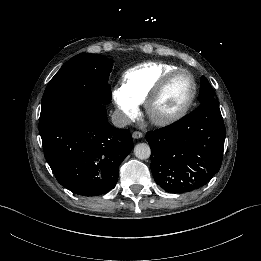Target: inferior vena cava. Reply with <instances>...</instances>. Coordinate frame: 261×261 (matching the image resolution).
Segmentation results:
<instances>
[{
  "label": "inferior vena cava",
  "mask_w": 261,
  "mask_h": 261,
  "mask_svg": "<svg viewBox=\"0 0 261 261\" xmlns=\"http://www.w3.org/2000/svg\"><path fill=\"white\" fill-rule=\"evenodd\" d=\"M112 123L117 128H123L130 124L129 117L120 110H115L111 116Z\"/></svg>",
  "instance_id": "1"
}]
</instances>
